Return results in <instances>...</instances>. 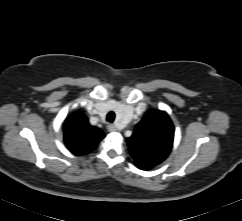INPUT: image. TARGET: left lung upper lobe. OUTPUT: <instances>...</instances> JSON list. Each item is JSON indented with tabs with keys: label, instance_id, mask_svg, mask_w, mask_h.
<instances>
[{
	"label": "left lung upper lobe",
	"instance_id": "left-lung-upper-lobe-1",
	"mask_svg": "<svg viewBox=\"0 0 242 221\" xmlns=\"http://www.w3.org/2000/svg\"><path fill=\"white\" fill-rule=\"evenodd\" d=\"M174 126L164 111L147 112L127 139L129 151L138 168H152L169 155Z\"/></svg>",
	"mask_w": 242,
	"mask_h": 221
}]
</instances>
